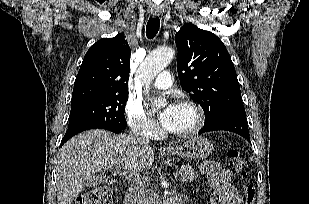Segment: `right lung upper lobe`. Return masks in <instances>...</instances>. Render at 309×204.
Instances as JSON below:
<instances>
[{
	"label": "right lung upper lobe",
	"mask_w": 309,
	"mask_h": 204,
	"mask_svg": "<svg viewBox=\"0 0 309 204\" xmlns=\"http://www.w3.org/2000/svg\"><path fill=\"white\" fill-rule=\"evenodd\" d=\"M130 54L123 34L100 39L92 45L74 82L71 103L112 93H128Z\"/></svg>",
	"instance_id": "cb5924a9"
}]
</instances>
